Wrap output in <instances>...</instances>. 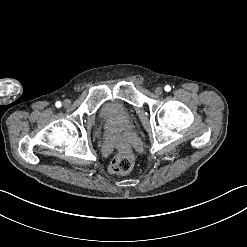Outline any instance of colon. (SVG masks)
Instances as JSON below:
<instances>
[{
  "label": "colon",
  "instance_id": "colon-1",
  "mask_svg": "<svg viewBox=\"0 0 247 247\" xmlns=\"http://www.w3.org/2000/svg\"><path fill=\"white\" fill-rule=\"evenodd\" d=\"M135 165V156L127 146H123L118 155L110 163L109 170L113 174L128 173Z\"/></svg>",
  "mask_w": 247,
  "mask_h": 247
}]
</instances>
